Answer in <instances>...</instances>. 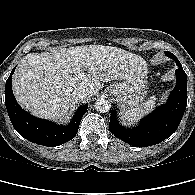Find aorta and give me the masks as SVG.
Segmentation results:
<instances>
[{"label": "aorta", "instance_id": "762f6f07", "mask_svg": "<svg viewBox=\"0 0 195 195\" xmlns=\"http://www.w3.org/2000/svg\"><path fill=\"white\" fill-rule=\"evenodd\" d=\"M95 109L100 113H106L111 109V103L109 100L100 98L97 99L94 105Z\"/></svg>", "mask_w": 195, "mask_h": 195}]
</instances>
